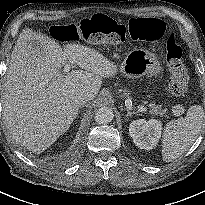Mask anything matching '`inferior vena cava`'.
<instances>
[{
	"mask_svg": "<svg viewBox=\"0 0 205 205\" xmlns=\"http://www.w3.org/2000/svg\"><path fill=\"white\" fill-rule=\"evenodd\" d=\"M91 100V95L89 93H78L75 97V102L77 105L82 106Z\"/></svg>",
	"mask_w": 205,
	"mask_h": 205,
	"instance_id": "602c4592",
	"label": "inferior vena cava"
}]
</instances>
